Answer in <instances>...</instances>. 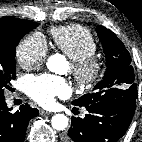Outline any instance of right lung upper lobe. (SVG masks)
Instances as JSON below:
<instances>
[{"mask_svg":"<svg viewBox=\"0 0 142 142\" xmlns=\"http://www.w3.org/2000/svg\"><path fill=\"white\" fill-rule=\"evenodd\" d=\"M29 21L14 18V17H4L0 19V31L1 30H8L9 28L18 25V24H24Z\"/></svg>","mask_w":142,"mask_h":142,"instance_id":"right-lung-upper-lobe-1","label":"right lung upper lobe"}]
</instances>
